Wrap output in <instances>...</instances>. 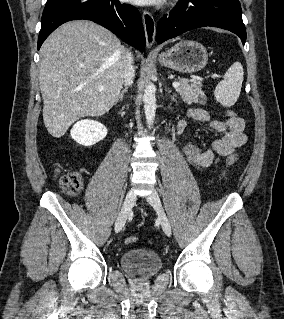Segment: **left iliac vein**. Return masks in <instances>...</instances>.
I'll use <instances>...</instances> for the list:
<instances>
[{
	"mask_svg": "<svg viewBox=\"0 0 284 319\" xmlns=\"http://www.w3.org/2000/svg\"><path fill=\"white\" fill-rule=\"evenodd\" d=\"M147 201L158 213V216H159L160 222H161V226H162V229L165 232V234L167 236H171V225H170V222L165 214L161 200H160L159 195L156 192V190H152V192L147 196Z\"/></svg>",
	"mask_w": 284,
	"mask_h": 319,
	"instance_id": "1",
	"label": "left iliac vein"
}]
</instances>
